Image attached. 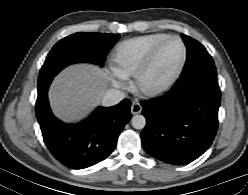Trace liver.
<instances>
[{"label": "liver", "instance_id": "liver-1", "mask_svg": "<svg viewBox=\"0 0 248 195\" xmlns=\"http://www.w3.org/2000/svg\"><path fill=\"white\" fill-rule=\"evenodd\" d=\"M108 73L91 64H75L54 79L49 100L54 114L66 122L85 118L108 90Z\"/></svg>", "mask_w": 248, "mask_h": 195}]
</instances>
